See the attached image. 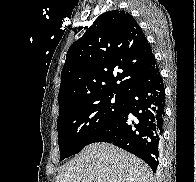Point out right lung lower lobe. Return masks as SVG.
<instances>
[{
	"label": "right lung lower lobe",
	"instance_id": "right-lung-lower-lobe-1",
	"mask_svg": "<svg viewBox=\"0 0 196 182\" xmlns=\"http://www.w3.org/2000/svg\"><path fill=\"white\" fill-rule=\"evenodd\" d=\"M165 118V89L157 63L129 89L121 113L92 140L138 156L155 172Z\"/></svg>",
	"mask_w": 196,
	"mask_h": 182
}]
</instances>
